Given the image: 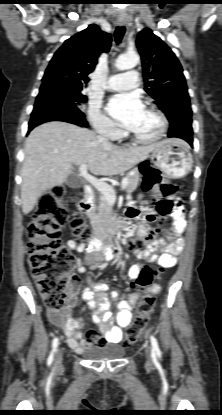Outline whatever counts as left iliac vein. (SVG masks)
<instances>
[{
    "label": "left iliac vein",
    "instance_id": "4c4485c4",
    "mask_svg": "<svg viewBox=\"0 0 222 415\" xmlns=\"http://www.w3.org/2000/svg\"><path fill=\"white\" fill-rule=\"evenodd\" d=\"M146 357H147V363L151 364L152 360H151V347L149 344L146 345Z\"/></svg>",
    "mask_w": 222,
    "mask_h": 415
}]
</instances>
